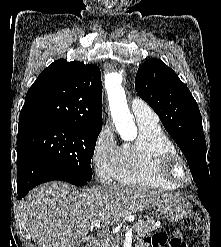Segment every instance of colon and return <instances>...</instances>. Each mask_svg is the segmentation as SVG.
<instances>
[{"instance_id": "1", "label": "colon", "mask_w": 221, "mask_h": 247, "mask_svg": "<svg viewBox=\"0 0 221 247\" xmlns=\"http://www.w3.org/2000/svg\"><path fill=\"white\" fill-rule=\"evenodd\" d=\"M198 226L199 216L197 213H192L184 219L182 229L184 232H191L196 230ZM150 242L154 247H187V241L181 231L176 232L170 239L163 234H157ZM78 247H86V245H79Z\"/></svg>"}]
</instances>
